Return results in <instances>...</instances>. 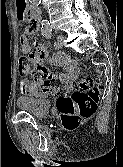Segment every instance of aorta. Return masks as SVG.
<instances>
[{
    "label": "aorta",
    "instance_id": "1",
    "mask_svg": "<svg viewBox=\"0 0 123 167\" xmlns=\"http://www.w3.org/2000/svg\"><path fill=\"white\" fill-rule=\"evenodd\" d=\"M40 1L41 0H32L35 4H38ZM41 32L44 34H49L51 32V27L47 20L41 21Z\"/></svg>",
    "mask_w": 123,
    "mask_h": 167
}]
</instances>
